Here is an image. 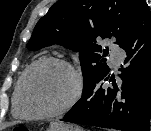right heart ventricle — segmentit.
I'll list each match as a JSON object with an SVG mask.
<instances>
[{
    "label": "right heart ventricle",
    "instance_id": "e07e8e85",
    "mask_svg": "<svg viewBox=\"0 0 151 131\" xmlns=\"http://www.w3.org/2000/svg\"><path fill=\"white\" fill-rule=\"evenodd\" d=\"M21 78H22V76L18 80V82L16 84V87H15V90H14V93H13V96H12V114L15 117H20V115L18 114L17 109H16V96H17V93H18Z\"/></svg>",
    "mask_w": 151,
    "mask_h": 131
}]
</instances>
